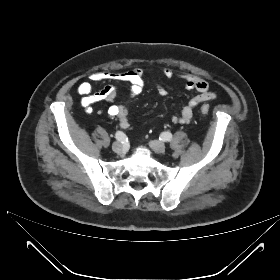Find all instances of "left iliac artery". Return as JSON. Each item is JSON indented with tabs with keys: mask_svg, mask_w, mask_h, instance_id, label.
Masks as SVG:
<instances>
[{
	"mask_svg": "<svg viewBox=\"0 0 280 280\" xmlns=\"http://www.w3.org/2000/svg\"><path fill=\"white\" fill-rule=\"evenodd\" d=\"M163 141H170L172 139V134L170 132H164L161 135Z\"/></svg>",
	"mask_w": 280,
	"mask_h": 280,
	"instance_id": "left-iliac-artery-1",
	"label": "left iliac artery"
}]
</instances>
